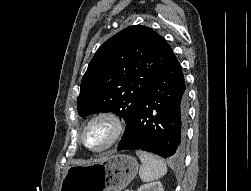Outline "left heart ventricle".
I'll return each instance as SVG.
<instances>
[{"label":"left heart ventricle","mask_w":251,"mask_h":191,"mask_svg":"<svg viewBox=\"0 0 251 191\" xmlns=\"http://www.w3.org/2000/svg\"><path fill=\"white\" fill-rule=\"evenodd\" d=\"M111 137V124L105 119H97L83 131L82 144L91 151H101L108 145Z\"/></svg>","instance_id":"b2bd125f"}]
</instances>
